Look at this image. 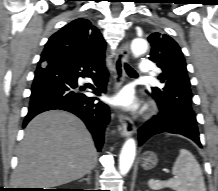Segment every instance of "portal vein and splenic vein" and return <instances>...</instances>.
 I'll list each match as a JSON object with an SVG mask.
<instances>
[{
    "mask_svg": "<svg viewBox=\"0 0 218 191\" xmlns=\"http://www.w3.org/2000/svg\"><path fill=\"white\" fill-rule=\"evenodd\" d=\"M165 172H167V173H168L169 171H168V170H165Z\"/></svg>",
    "mask_w": 218,
    "mask_h": 191,
    "instance_id": "portal-vein-and-splenic-vein-1",
    "label": "portal vein and splenic vein"
}]
</instances>
